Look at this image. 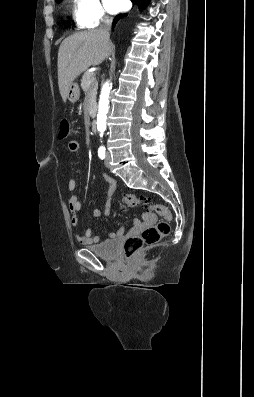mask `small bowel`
Masks as SVG:
<instances>
[{"label":"small bowel","instance_id":"c3829d8e","mask_svg":"<svg viewBox=\"0 0 254 397\" xmlns=\"http://www.w3.org/2000/svg\"><path fill=\"white\" fill-rule=\"evenodd\" d=\"M68 148L71 152L76 153L79 151L80 145L77 141L72 140L68 144ZM104 180L108 183V191H107V200L106 204L103 210L95 208L93 210V216L96 218H103L105 216H108L110 213V207H111V199L112 196L115 192L116 189V182L113 178L110 176L104 174L103 175ZM77 187V183L74 179H70L68 182V190L69 191H74ZM68 206L69 210L71 212V225L76 228L78 226V212L81 210L82 204L77 195H71L68 199ZM149 214H145L146 219H150ZM136 226L139 225V221H135L134 223ZM123 233V230H119L117 232H112L109 234L110 238H117L121 236ZM77 240L81 244L89 245L93 243H98L100 241V237L98 236H93L92 230L90 228H87L83 234L77 235Z\"/></svg>","mask_w":254,"mask_h":397}]
</instances>
